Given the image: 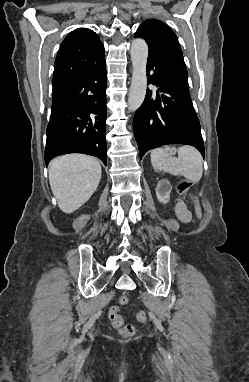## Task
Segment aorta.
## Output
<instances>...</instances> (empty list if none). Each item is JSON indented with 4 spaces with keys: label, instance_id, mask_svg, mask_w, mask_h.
Segmentation results:
<instances>
[{
    "label": "aorta",
    "instance_id": "obj_1",
    "mask_svg": "<svg viewBox=\"0 0 249 382\" xmlns=\"http://www.w3.org/2000/svg\"><path fill=\"white\" fill-rule=\"evenodd\" d=\"M148 45L143 39H135L131 46L132 79L128 97V110L136 111L144 101L147 89L146 64Z\"/></svg>",
    "mask_w": 249,
    "mask_h": 382
}]
</instances>
